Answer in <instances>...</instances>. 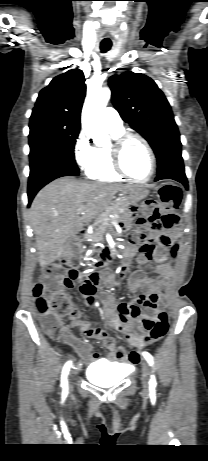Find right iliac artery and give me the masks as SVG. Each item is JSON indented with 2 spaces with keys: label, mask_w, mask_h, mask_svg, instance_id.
<instances>
[{
  "label": "right iliac artery",
  "mask_w": 208,
  "mask_h": 461,
  "mask_svg": "<svg viewBox=\"0 0 208 461\" xmlns=\"http://www.w3.org/2000/svg\"><path fill=\"white\" fill-rule=\"evenodd\" d=\"M72 362L68 361L62 370V375H61V387L64 389V391H67L68 388V382H67V375L70 369Z\"/></svg>",
  "instance_id": "obj_1"
}]
</instances>
